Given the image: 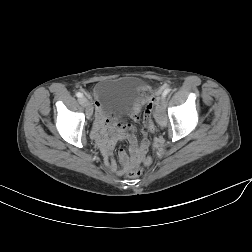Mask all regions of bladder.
Segmentation results:
<instances>
[{"mask_svg": "<svg viewBox=\"0 0 252 252\" xmlns=\"http://www.w3.org/2000/svg\"><path fill=\"white\" fill-rule=\"evenodd\" d=\"M97 90L104 113L111 112L115 107H122L126 111L144 95L139 81L132 77L103 80L98 84Z\"/></svg>", "mask_w": 252, "mask_h": 252, "instance_id": "bladder-1", "label": "bladder"}]
</instances>
